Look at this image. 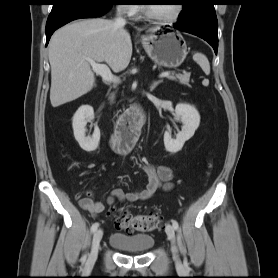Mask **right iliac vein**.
<instances>
[{"label":"right iliac vein","instance_id":"right-iliac-vein-1","mask_svg":"<svg viewBox=\"0 0 278 278\" xmlns=\"http://www.w3.org/2000/svg\"><path fill=\"white\" fill-rule=\"evenodd\" d=\"M102 237L103 231L101 229L96 230L93 235L91 251L87 260L88 267L93 266L97 260L99 244L101 242Z\"/></svg>","mask_w":278,"mask_h":278}]
</instances>
